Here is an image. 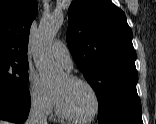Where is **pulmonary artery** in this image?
<instances>
[{
	"label": "pulmonary artery",
	"instance_id": "obj_1",
	"mask_svg": "<svg viewBox=\"0 0 156 124\" xmlns=\"http://www.w3.org/2000/svg\"><path fill=\"white\" fill-rule=\"evenodd\" d=\"M51 52L56 61H58L66 70L72 69L71 54L67 46L62 41H55L51 47Z\"/></svg>",
	"mask_w": 156,
	"mask_h": 124
}]
</instances>
